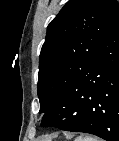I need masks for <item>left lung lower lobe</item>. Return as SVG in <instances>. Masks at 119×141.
Here are the masks:
<instances>
[{
    "label": "left lung lower lobe",
    "mask_w": 119,
    "mask_h": 141,
    "mask_svg": "<svg viewBox=\"0 0 119 141\" xmlns=\"http://www.w3.org/2000/svg\"><path fill=\"white\" fill-rule=\"evenodd\" d=\"M41 125L119 141V15L84 71L45 112Z\"/></svg>",
    "instance_id": "left-lung-lower-lobe-1"
}]
</instances>
